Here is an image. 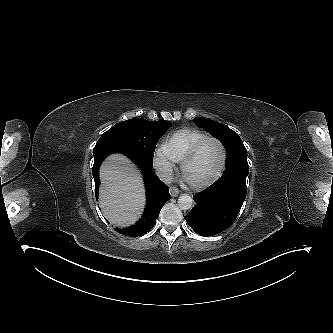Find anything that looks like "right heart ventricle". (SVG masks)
I'll use <instances>...</instances> for the list:
<instances>
[{
    "label": "right heart ventricle",
    "instance_id": "obj_1",
    "mask_svg": "<svg viewBox=\"0 0 333 333\" xmlns=\"http://www.w3.org/2000/svg\"><path fill=\"white\" fill-rule=\"evenodd\" d=\"M208 136L204 131L183 128L171 134L166 140V147L176 161H182L190 148L202 138Z\"/></svg>",
    "mask_w": 333,
    "mask_h": 333
}]
</instances>
